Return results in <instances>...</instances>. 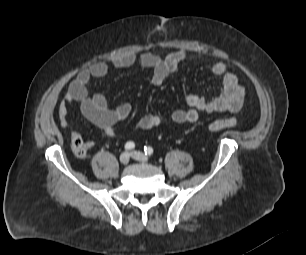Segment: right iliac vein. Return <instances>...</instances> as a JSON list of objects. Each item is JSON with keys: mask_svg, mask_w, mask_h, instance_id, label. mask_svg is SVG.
<instances>
[{"mask_svg": "<svg viewBox=\"0 0 306 255\" xmlns=\"http://www.w3.org/2000/svg\"><path fill=\"white\" fill-rule=\"evenodd\" d=\"M119 160L122 164H127L130 160V156L128 152H124L120 155Z\"/></svg>", "mask_w": 306, "mask_h": 255, "instance_id": "right-iliac-vein-1", "label": "right iliac vein"}]
</instances>
